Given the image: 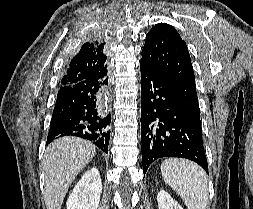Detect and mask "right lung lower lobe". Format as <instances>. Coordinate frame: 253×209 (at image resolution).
Returning a JSON list of instances; mask_svg holds the SVG:
<instances>
[{
    "label": "right lung lower lobe",
    "mask_w": 253,
    "mask_h": 209,
    "mask_svg": "<svg viewBox=\"0 0 253 209\" xmlns=\"http://www.w3.org/2000/svg\"><path fill=\"white\" fill-rule=\"evenodd\" d=\"M107 71L78 83L62 86L57 94L47 144L63 136H76L108 153L110 114L99 109L100 88L108 83Z\"/></svg>",
    "instance_id": "1"
}]
</instances>
